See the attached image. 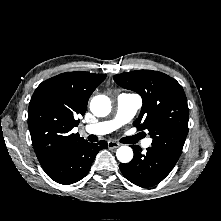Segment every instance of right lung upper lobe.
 Wrapping results in <instances>:
<instances>
[{"label": "right lung upper lobe", "mask_w": 221, "mask_h": 221, "mask_svg": "<svg viewBox=\"0 0 221 221\" xmlns=\"http://www.w3.org/2000/svg\"><path fill=\"white\" fill-rule=\"evenodd\" d=\"M106 74L67 72L42 82L29 103L28 127L42 168L86 142L70 133L80 122L87 102Z\"/></svg>", "instance_id": "cb5924a9"}]
</instances>
